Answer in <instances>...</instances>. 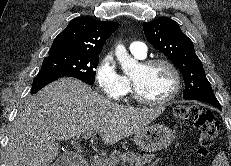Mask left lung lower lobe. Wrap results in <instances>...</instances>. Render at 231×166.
Returning <instances> with one entry per match:
<instances>
[{
  "label": "left lung lower lobe",
  "instance_id": "1",
  "mask_svg": "<svg viewBox=\"0 0 231 166\" xmlns=\"http://www.w3.org/2000/svg\"><path fill=\"white\" fill-rule=\"evenodd\" d=\"M194 100H197V101H203V102H207V103H210L214 106H216L218 109L221 110V105L220 103L218 102L217 98H209V99H194Z\"/></svg>",
  "mask_w": 231,
  "mask_h": 166
}]
</instances>
